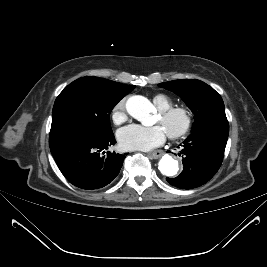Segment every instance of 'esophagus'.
I'll return each instance as SVG.
<instances>
[{
  "label": "esophagus",
  "instance_id": "1",
  "mask_svg": "<svg viewBox=\"0 0 267 267\" xmlns=\"http://www.w3.org/2000/svg\"><path fill=\"white\" fill-rule=\"evenodd\" d=\"M149 155L154 159H158L164 155V152L162 150H157V151H154L152 153H149Z\"/></svg>",
  "mask_w": 267,
  "mask_h": 267
}]
</instances>
